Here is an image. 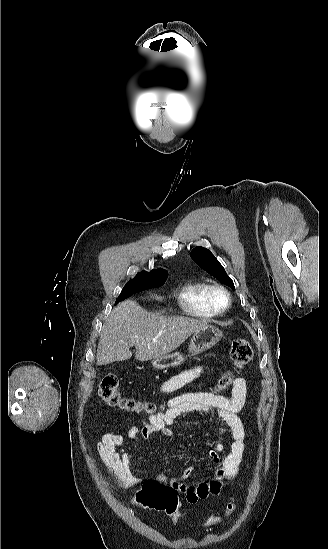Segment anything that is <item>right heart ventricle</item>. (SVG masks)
I'll use <instances>...</instances> for the list:
<instances>
[{"label": "right heart ventricle", "mask_w": 328, "mask_h": 549, "mask_svg": "<svg viewBox=\"0 0 328 549\" xmlns=\"http://www.w3.org/2000/svg\"><path fill=\"white\" fill-rule=\"evenodd\" d=\"M209 284L192 281L185 284L178 295V308L184 310V319H198V323L215 318L209 310L206 292Z\"/></svg>", "instance_id": "right-heart-ventricle-1"}]
</instances>
